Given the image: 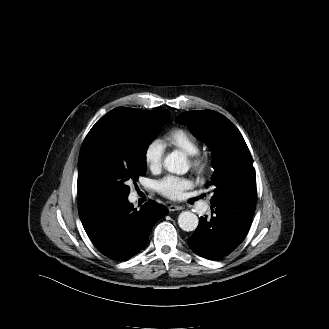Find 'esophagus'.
Here are the masks:
<instances>
[{
	"label": "esophagus",
	"mask_w": 329,
	"mask_h": 329,
	"mask_svg": "<svg viewBox=\"0 0 329 329\" xmlns=\"http://www.w3.org/2000/svg\"><path fill=\"white\" fill-rule=\"evenodd\" d=\"M181 209H183V207L182 206H179V205H170L168 207V210L169 211H177V210H181Z\"/></svg>",
	"instance_id": "1"
}]
</instances>
